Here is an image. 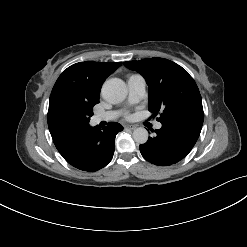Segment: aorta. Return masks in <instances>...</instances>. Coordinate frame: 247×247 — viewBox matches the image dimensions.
<instances>
[{"label": "aorta", "mask_w": 247, "mask_h": 247, "mask_svg": "<svg viewBox=\"0 0 247 247\" xmlns=\"http://www.w3.org/2000/svg\"><path fill=\"white\" fill-rule=\"evenodd\" d=\"M103 97L110 102H120L127 96V87L123 80L111 78L105 81L102 87ZM133 139L137 144H144L148 141V131L139 127L133 131Z\"/></svg>", "instance_id": "obj_1"}]
</instances>
